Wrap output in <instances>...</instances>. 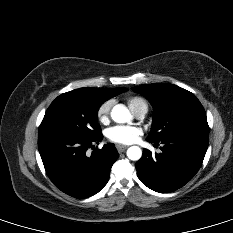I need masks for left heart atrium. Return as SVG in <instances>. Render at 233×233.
Segmentation results:
<instances>
[{"label": "left heart atrium", "instance_id": "obj_1", "mask_svg": "<svg viewBox=\"0 0 233 233\" xmlns=\"http://www.w3.org/2000/svg\"><path fill=\"white\" fill-rule=\"evenodd\" d=\"M142 130L135 126H114L107 132L108 138L120 144H132L138 140Z\"/></svg>", "mask_w": 233, "mask_h": 233}]
</instances>
